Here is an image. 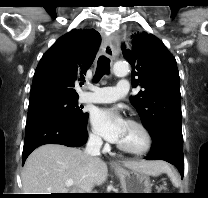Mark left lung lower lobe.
<instances>
[{
	"label": "left lung lower lobe",
	"mask_w": 208,
	"mask_h": 198,
	"mask_svg": "<svg viewBox=\"0 0 208 198\" xmlns=\"http://www.w3.org/2000/svg\"><path fill=\"white\" fill-rule=\"evenodd\" d=\"M145 159L167 161L177 167L182 178L184 176L183 140L170 133L153 140L152 149Z\"/></svg>",
	"instance_id": "left-lung-lower-lobe-1"
}]
</instances>
